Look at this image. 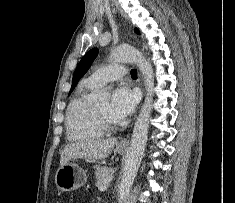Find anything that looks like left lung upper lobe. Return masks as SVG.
I'll return each instance as SVG.
<instances>
[{"label":"left lung upper lobe","mask_w":235,"mask_h":203,"mask_svg":"<svg viewBox=\"0 0 235 203\" xmlns=\"http://www.w3.org/2000/svg\"><path fill=\"white\" fill-rule=\"evenodd\" d=\"M135 31L136 33L139 34L138 29H135ZM97 55H98V49L93 48L90 51H88L84 55V57L81 59V61L79 62L74 72L73 80H72V87H71L70 92H72V90L74 89V86L77 84L80 78L88 71V69L90 68L92 62L94 61Z\"/></svg>","instance_id":"5c2ea615"}]
</instances>
